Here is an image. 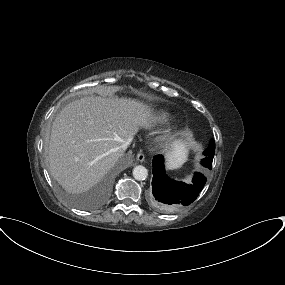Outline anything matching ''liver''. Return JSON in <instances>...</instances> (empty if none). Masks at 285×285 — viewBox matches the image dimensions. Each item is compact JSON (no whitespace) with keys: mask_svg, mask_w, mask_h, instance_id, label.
Masks as SVG:
<instances>
[{"mask_svg":"<svg viewBox=\"0 0 285 285\" xmlns=\"http://www.w3.org/2000/svg\"><path fill=\"white\" fill-rule=\"evenodd\" d=\"M155 121L153 109L136 99L102 94L69 103L52 125L47 149L51 175L69 192L89 190L123 155L121 145ZM185 153L184 145L175 142L169 159Z\"/></svg>","mask_w":285,"mask_h":285,"instance_id":"obj_1","label":"liver"}]
</instances>
